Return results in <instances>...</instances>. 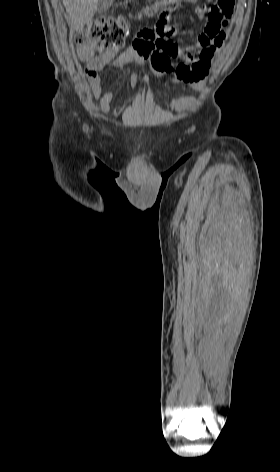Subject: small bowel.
<instances>
[{"instance_id": "small-bowel-1", "label": "small bowel", "mask_w": 280, "mask_h": 472, "mask_svg": "<svg viewBox=\"0 0 280 472\" xmlns=\"http://www.w3.org/2000/svg\"><path fill=\"white\" fill-rule=\"evenodd\" d=\"M195 3L197 0H182ZM206 6H197L195 14L204 20L208 13ZM224 24L214 25L206 22L197 40L185 48H180L173 37L177 29L167 22L158 21L153 28H144L137 33L133 45L114 58L111 52L78 46L77 53L85 64V75L100 108L108 112L113 99V91L103 90V80L98 72L107 66L124 71L132 64L146 66L155 76L169 77L176 85H185L192 90H202L206 84L212 59L226 37ZM175 60H180L176 62ZM138 76L128 74V82L134 87ZM121 82H117L116 86ZM195 102L192 96H183L172 101L175 112H181ZM123 106L120 107V110Z\"/></svg>"}]
</instances>
